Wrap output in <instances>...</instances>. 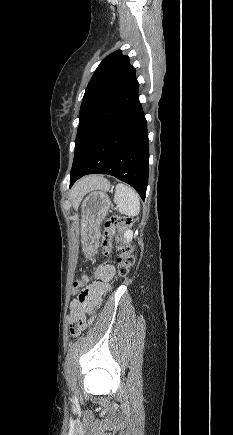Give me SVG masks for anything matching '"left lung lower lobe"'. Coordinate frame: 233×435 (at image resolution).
Masks as SVG:
<instances>
[{
	"mask_svg": "<svg viewBox=\"0 0 233 435\" xmlns=\"http://www.w3.org/2000/svg\"><path fill=\"white\" fill-rule=\"evenodd\" d=\"M147 133L146 119L138 99L73 163L70 186L86 174H108L131 185L144 200L149 176Z\"/></svg>",
	"mask_w": 233,
	"mask_h": 435,
	"instance_id": "0a47b994",
	"label": "left lung lower lobe"
}]
</instances>
